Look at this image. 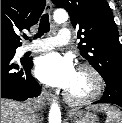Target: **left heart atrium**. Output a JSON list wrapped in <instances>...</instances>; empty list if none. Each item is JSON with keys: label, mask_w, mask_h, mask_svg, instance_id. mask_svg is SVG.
Returning <instances> with one entry per match:
<instances>
[{"label": "left heart atrium", "mask_w": 122, "mask_h": 123, "mask_svg": "<svg viewBox=\"0 0 122 123\" xmlns=\"http://www.w3.org/2000/svg\"><path fill=\"white\" fill-rule=\"evenodd\" d=\"M72 59L59 53H47L36 61L35 74L44 84L68 90L76 77Z\"/></svg>", "instance_id": "left-heart-atrium-1"}]
</instances>
